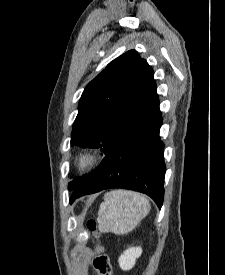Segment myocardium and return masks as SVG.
Instances as JSON below:
<instances>
[{"label":"myocardium","mask_w":225,"mask_h":275,"mask_svg":"<svg viewBox=\"0 0 225 275\" xmlns=\"http://www.w3.org/2000/svg\"><path fill=\"white\" fill-rule=\"evenodd\" d=\"M99 163V156L93 151H85L80 153L75 166L80 171H85L94 168Z\"/></svg>","instance_id":"myocardium-1"}]
</instances>
